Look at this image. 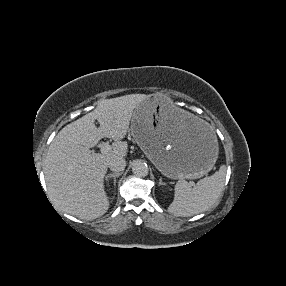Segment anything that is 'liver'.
I'll return each instance as SVG.
<instances>
[{"mask_svg": "<svg viewBox=\"0 0 286 286\" xmlns=\"http://www.w3.org/2000/svg\"><path fill=\"white\" fill-rule=\"evenodd\" d=\"M144 94L102 99L97 108L66 125L51 142L44 161V175L52 202L62 211L80 219L92 220L109 209L104 177L115 156L127 155L125 138L137 106ZM189 113L183 117L190 118ZM95 120L100 127L95 126ZM104 137L115 142L108 154L90 148Z\"/></svg>", "mask_w": 286, "mask_h": 286, "instance_id": "obj_1", "label": "liver"}]
</instances>
